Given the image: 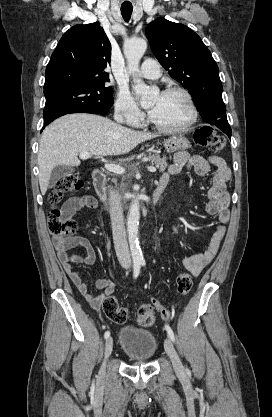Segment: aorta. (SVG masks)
I'll return each instance as SVG.
<instances>
[{
    "label": "aorta",
    "mask_w": 272,
    "mask_h": 417,
    "mask_svg": "<svg viewBox=\"0 0 272 417\" xmlns=\"http://www.w3.org/2000/svg\"><path fill=\"white\" fill-rule=\"evenodd\" d=\"M147 49V42L144 39H130L124 44V55L127 59V68L130 73L136 75L139 71V63ZM134 92L141 97V105L146 106L153 102L159 93L157 87L146 85L141 79L134 78ZM140 219L139 200L134 199L131 203L128 220L127 232L128 240L133 261H142L143 255L138 241V225Z\"/></svg>",
    "instance_id": "1"
}]
</instances>
